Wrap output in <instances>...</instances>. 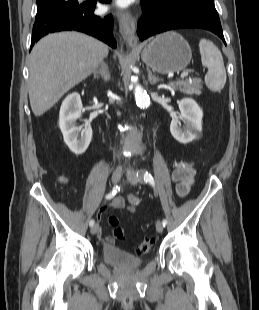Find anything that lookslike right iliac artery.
I'll use <instances>...</instances> for the list:
<instances>
[{
    "mask_svg": "<svg viewBox=\"0 0 259 310\" xmlns=\"http://www.w3.org/2000/svg\"><path fill=\"white\" fill-rule=\"evenodd\" d=\"M119 191H120V186L116 185V186L113 188V190H112L109 194L106 195V199H111V198H113ZM94 223H95L94 220H91V221L89 222V225H90V226H93Z\"/></svg>",
    "mask_w": 259,
    "mask_h": 310,
    "instance_id": "obj_1",
    "label": "right iliac artery"
}]
</instances>
